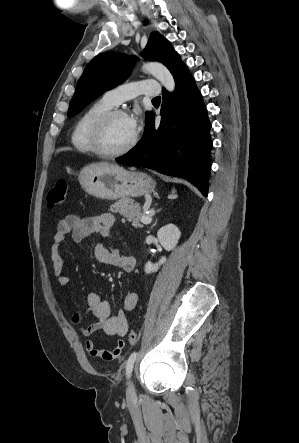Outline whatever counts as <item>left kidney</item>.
<instances>
[{"label":"left kidney","instance_id":"5707ae66","mask_svg":"<svg viewBox=\"0 0 299 443\" xmlns=\"http://www.w3.org/2000/svg\"><path fill=\"white\" fill-rule=\"evenodd\" d=\"M181 232L174 224H168L160 228L157 232V237L160 244L165 250H172L180 239ZM166 262V257H162L157 263L153 264L150 261L145 265V273L150 274L158 271L159 267Z\"/></svg>","mask_w":299,"mask_h":443}]
</instances>
